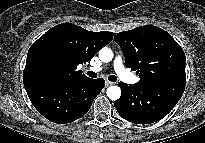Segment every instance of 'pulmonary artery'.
I'll use <instances>...</instances> for the list:
<instances>
[{"mask_svg":"<svg viewBox=\"0 0 205 143\" xmlns=\"http://www.w3.org/2000/svg\"><path fill=\"white\" fill-rule=\"evenodd\" d=\"M113 66H114V70H115L116 74L118 75V77L122 81L129 83V84H134L138 81V78L134 74L128 72L125 69V67L123 65L122 58L120 56H117L115 58V60L113 62ZM91 70L98 72V71L102 70V67L101 66H93V67H91Z\"/></svg>","mask_w":205,"mask_h":143,"instance_id":"pulmonary-artery-1","label":"pulmonary artery"}]
</instances>
